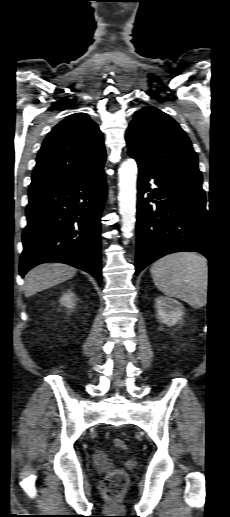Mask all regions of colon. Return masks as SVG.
I'll return each mask as SVG.
<instances>
[{"mask_svg": "<svg viewBox=\"0 0 230 517\" xmlns=\"http://www.w3.org/2000/svg\"><path fill=\"white\" fill-rule=\"evenodd\" d=\"M113 445L119 450H125L127 448L126 442L120 438H115L113 440ZM127 481V474L122 470H115L109 473L102 483L104 496L109 500H118L127 484Z\"/></svg>", "mask_w": 230, "mask_h": 517, "instance_id": "obj_1", "label": "colon"}]
</instances>
